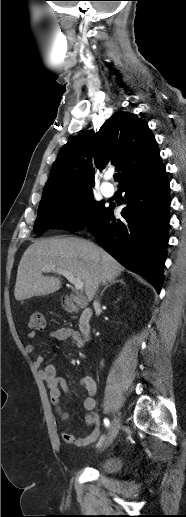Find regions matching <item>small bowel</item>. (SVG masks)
Instances as JSON below:
<instances>
[{
  "mask_svg": "<svg viewBox=\"0 0 186 517\" xmlns=\"http://www.w3.org/2000/svg\"><path fill=\"white\" fill-rule=\"evenodd\" d=\"M27 338L29 340H33L35 338V334L33 332H29L27 334ZM50 339L53 341L70 340L72 345L77 348H82L84 346V342L79 332L70 327H62L51 331ZM25 350L28 354H32L34 353V346L28 344L25 347ZM43 363L44 359L41 356L34 358V365L37 368H40ZM39 373L47 385L51 403L55 406L61 418L63 420H67L69 415L67 412L62 410L60 405L62 391L68 395L71 394V390L67 382L63 378L57 376L56 366L53 364H49L41 368ZM79 384L85 389L86 392L85 398L83 400V407L87 412L84 419L87 427L90 429L89 433L83 438H78L69 431L65 430L61 433V437L63 441L68 444H73L77 447H83L94 443L99 438L100 421L98 415L95 413V395L97 392V386L94 378L89 374L84 375L80 379Z\"/></svg>",
  "mask_w": 186,
  "mask_h": 517,
  "instance_id": "1",
  "label": "small bowel"
}]
</instances>
